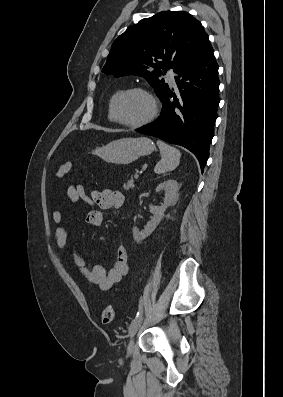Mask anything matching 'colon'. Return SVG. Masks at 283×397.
Masks as SVG:
<instances>
[{"mask_svg": "<svg viewBox=\"0 0 283 397\" xmlns=\"http://www.w3.org/2000/svg\"><path fill=\"white\" fill-rule=\"evenodd\" d=\"M72 169H73V163H71V162L62 163L59 166V168L56 172V175H57V177H60V178L64 177V176L68 175L72 171ZM115 315H116V311H115L114 307L111 305L106 306L103 309L102 315H101L103 324H106V325L111 324L115 319Z\"/></svg>", "mask_w": 283, "mask_h": 397, "instance_id": "obj_1", "label": "colon"}]
</instances>
